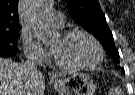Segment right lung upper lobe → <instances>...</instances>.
I'll use <instances>...</instances> for the list:
<instances>
[{"label":"right lung upper lobe","instance_id":"obj_1","mask_svg":"<svg viewBox=\"0 0 135 95\" xmlns=\"http://www.w3.org/2000/svg\"><path fill=\"white\" fill-rule=\"evenodd\" d=\"M19 28L18 0H0V32Z\"/></svg>","mask_w":135,"mask_h":95}]
</instances>
